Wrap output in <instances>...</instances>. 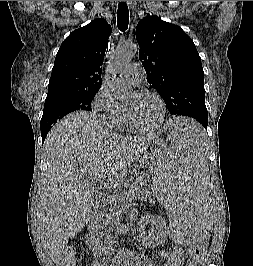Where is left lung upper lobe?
Wrapping results in <instances>:
<instances>
[{
  "label": "left lung upper lobe",
  "instance_id": "5c2ea615",
  "mask_svg": "<svg viewBox=\"0 0 253 266\" xmlns=\"http://www.w3.org/2000/svg\"><path fill=\"white\" fill-rule=\"evenodd\" d=\"M136 40L147 81L161 94L170 114L207 126L204 72L192 39L181 27L148 16L138 23Z\"/></svg>",
  "mask_w": 253,
  "mask_h": 266
}]
</instances>
